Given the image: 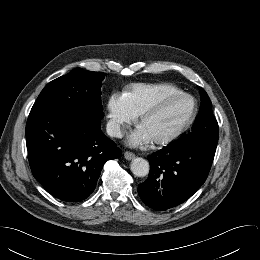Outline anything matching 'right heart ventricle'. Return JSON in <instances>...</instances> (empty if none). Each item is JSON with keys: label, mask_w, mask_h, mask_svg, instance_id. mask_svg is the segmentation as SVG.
<instances>
[{"label": "right heart ventricle", "mask_w": 260, "mask_h": 260, "mask_svg": "<svg viewBox=\"0 0 260 260\" xmlns=\"http://www.w3.org/2000/svg\"><path fill=\"white\" fill-rule=\"evenodd\" d=\"M178 91V87L169 83L134 84L124 92V96L130 110L140 115L159 98Z\"/></svg>", "instance_id": "right-heart-ventricle-1"}]
</instances>
